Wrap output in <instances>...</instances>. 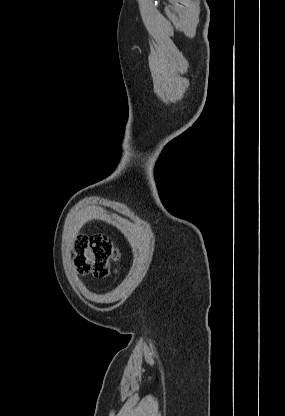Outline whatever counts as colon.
<instances>
[{
    "label": "colon",
    "instance_id": "1",
    "mask_svg": "<svg viewBox=\"0 0 285 416\" xmlns=\"http://www.w3.org/2000/svg\"><path fill=\"white\" fill-rule=\"evenodd\" d=\"M76 270L81 275L103 278L110 273L111 263L119 257L118 249L103 234L80 236L74 247Z\"/></svg>",
    "mask_w": 285,
    "mask_h": 416
}]
</instances>
